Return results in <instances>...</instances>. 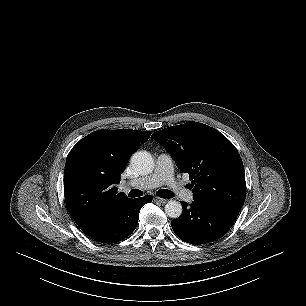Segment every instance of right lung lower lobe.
Here are the masks:
<instances>
[{"mask_svg":"<svg viewBox=\"0 0 306 306\" xmlns=\"http://www.w3.org/2000/svg\"><path fill=\"white\" fill-rule=\"evenodd\" d=\"M152 201L150 195L129 198L107 220L85 232L87 236L101 243H115L129 236L136 228L139 212L143 205Z\"/></svg>","mask_w":306,"mask_h":306,"instance_id":"1","label":"right lung lower lobe"}]
</instances>
